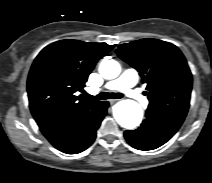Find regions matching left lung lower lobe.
Segmentation results:
<instances>
[{
	"mask_svg": "<svg viewBox=\"0 0 212 183\" xmlns=\"http://www.w3.org/2000/svg\"><path fill=\"white\" fill-rule=\"evenodd\" d=\"M184 118L147 109L146 119L133 131H125L127 142L139 150H153L166 143L180 128Z\"/></svg>",
	"mask_w": 212,
	"mask_h": 183,
	"instance_id": "0a47b994",
	"label": "left lung lower lobe"
}]
</instances>
